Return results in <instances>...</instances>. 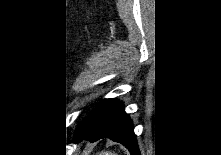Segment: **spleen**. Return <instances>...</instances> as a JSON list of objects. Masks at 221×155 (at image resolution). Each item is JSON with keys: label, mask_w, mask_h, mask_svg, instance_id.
<instances>
[{"label": "spleen", "mask_w": 221, "mask_h": 155, "mask_svg": "<svg viewBox=\"0 0 221 155\" xmlns=\"http://www.w3.org/2000/svg\"><path fill=\"white\" fill-rule=\"evenodd\" d=\"M100 155H116V154H115V153H112V152L106 151V152L100 153Z\"/></svg>", "instance_id": "3e777b00"}]
</instances>
